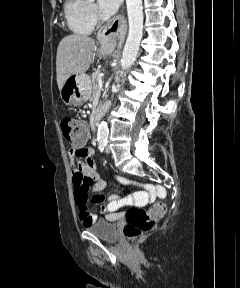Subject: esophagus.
Segmentation results:
<instances>
[{"label":"esophagus","instance_id":"obj_1","mask_svg":"<svg viewBox=\"0 0 240 288\" xmlns=\"http://www.w3.org/2000/svg\"><path fill=\"white\" fill-rule=\"evenodd\" d=\"M126 34V21L123 13L112 18L106 25H104L98 32V40L109 46H116L117 39L119 45L124 41Z\"/></svg>","mask_w":240,"mask_h":288}]
</instances>
